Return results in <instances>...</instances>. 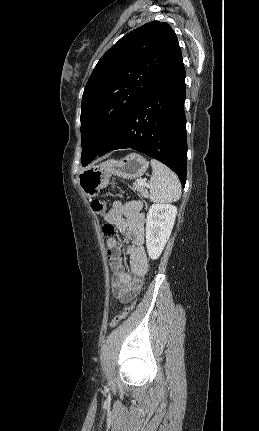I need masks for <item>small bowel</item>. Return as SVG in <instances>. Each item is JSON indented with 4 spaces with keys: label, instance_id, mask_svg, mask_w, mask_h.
<instances>
[{
    "label": "small bowel",
    "instance_id": "1",
    "mask_svg": "<svg viewBox=\"0 0 259 431\" xmlns=\"http://www.w3.org/2000/svg\"><path fill=\"white\" fill-rule=\"evenodd\" d=\"M104 218L132 242L126 245L115 238L107 240V256L113 272L111 290L118 301L127 303L140 291L142 279L148 271V259L143 247L145 216L138 203L115 201ZM124 254L129 257V270L124 263Z\"/></svg>",
    "mask_w": 259,
    "mask_h": 431
}]
</instances>
